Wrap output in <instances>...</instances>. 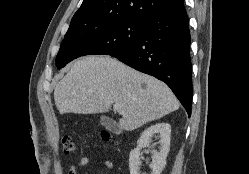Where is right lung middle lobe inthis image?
I'll return each mask as SVG.
<instances>
[{"label":"right lung middle lobe","instance_id":"obj_1","mask_svg":"<svg viewBox=\"0 0 249 174\" xmlns=\"http://www.w3.org/2000/svg\"><path fill=\"white\" fill-rule=\"evenodd\" d=\"M144 20L120 19L102 25L67 31L56 57L58 69L85 55L120 53L136 42Z\"/></svg>","mask_w":249,"mask_h":174}]
</instances>
